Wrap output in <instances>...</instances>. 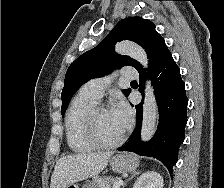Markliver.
<instances>
[{"label": "liver", "mask_w": 224, "mask_h": 188, "mask_svg": "<svg viewBox=\"0 0 224 188\" xmlns=\"http://www.w3.org/2000/svg\"><path fill=\"white\" fill-rule=\"evenodd\" d=\"M112 155V151H107L76 153L60 158L52 173L50 188H64L99 174L107 166Z\"/></svg>", "instance_id": "obj_1"}]
</instances>
